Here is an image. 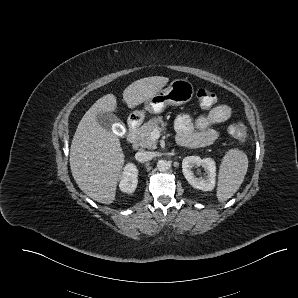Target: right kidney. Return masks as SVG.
Returning <instances> with one entry per match:
<instances>
[{"mask_svg":"<svg viewBox=\"0 0 298 298\" xmlns=\"http://www.w3.org/2000/svg\"><path fill=\"white\" fill-rule=\"evenodd\" d=\"M138 173L139 170L135 163L126 161L117 179L121 192L132 194L135 191L137 187Z\"/></svg>","mask_w":298,"mask_h":298,"instance_id":"right-kidney-1","label":"right kidney"}]
</instances>
